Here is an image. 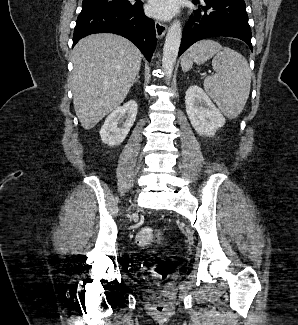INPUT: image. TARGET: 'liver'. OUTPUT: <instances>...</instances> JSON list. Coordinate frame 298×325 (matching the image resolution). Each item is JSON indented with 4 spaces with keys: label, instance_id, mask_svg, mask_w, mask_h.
Wrapping results in <instances>:
<instances>
[{
    "label": "liver",
    "instance_id": "obj_1",
    "mask_svg": "<svg viewBox=\"0 0 298 325\" xmlns=\"http://www.w3.org/2000/svg\"><path fill=\"white\" fill-rule=\"evenodd\" d=\"M139 48L118 34H89L72 50L73 104L85 130L126 98L141 66Z\"/></svg>",
    "mask_w": 298,
    "mask_h": 325
}]
</instances>
